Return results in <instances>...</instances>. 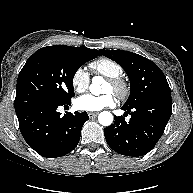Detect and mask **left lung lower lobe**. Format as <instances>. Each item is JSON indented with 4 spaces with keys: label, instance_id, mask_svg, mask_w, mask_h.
Instances as JSON below:
<instances>
[{
    "label": "left lung lower lobe",
    "instance_id": "obj_1",
    "mask_svg": "<svg viewBox=\"0 0 193 193\" xmlns=\"http://www.w3.org/2000/svg\"><path fill=\"white\" fill-rule=\"evenodd\" d=\"M122 109L131 115L130 121L115 116L114 123L104 129L106 141L119 154L143 156L154 148L171 117V92L165 90L133 108Z\"/></svg>",
    "mask_w": 193,
    "mask_h": 193
}]
</instances>
